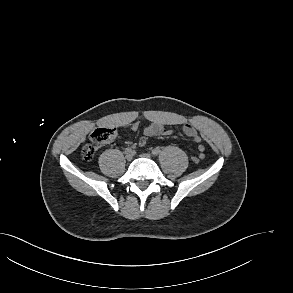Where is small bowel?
I'll return each instance as SVG.
<instances>
[{
  "label": "small bowel",
  "mask_w": 293,
  "mask_h": 293,
  "mask_svg": "<svg viewBox=\"0 0 293 293\" xmlns=\"http://www.w3.org/2000/svg\"><path fill=\"white\" fill-rule=\"evenodd\" d=\"M146 119L148 120V124L144 129V133L146 136L152 137V136H176V135H185L187 137H191L194 139L196 143H201L202 139L199 136L197 130L190 124H185L182 128V133L170 130L166 128V125L168 124L167 119L156 115L155 113L148 112L146 114ZM128 125L133 130H136L139 127V123L137 121L131 122V123H124L123 126ZM140 144H144V141H141ZM199 150L201 152L204 151V146L199 145Z\"/></svg>",
  "instance_id": "1"
}]
</instances>
